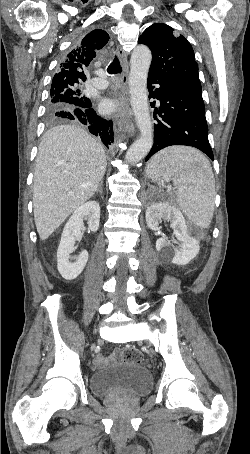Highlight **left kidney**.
Masks as SVG:
<instances>
[{"instance_id": "left-kidney-1", "label": "left kidney", "mask_w": 250, "mask_h": 454, "mask_svg": "<svg viewBox=\"0 0 250 454\" xmlns=\"http://www.w3.org/2000/svg\"><path fill=\"white\" fill-rule=\"evenodd\" d=\"M162 221H168L174 229V236L180 242L179 247L173 246L167 238L156 241L157 251L177 265H186L199 253V241L193 236L183 214L169 202L154 203L147 208L146 223L151 230H158ZM173 242L176 240L173 238Z\"/></svg>"}]
</instances>
